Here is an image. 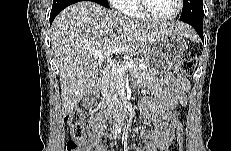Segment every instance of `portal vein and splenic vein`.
<instances>
[{
  "label": "portal vein and splenic vein",
  "instance_id": "portal-vein-and-splenic-vein-1",
  "mask_svg": "<svg viewBox=\"0 0 231 151\" xmlns=\"http://www.w3.org/2000/svg\"><path fill=\"white\" fill-rule=\"evenodd\" d=\"M118 50V46L114 45L113 47L109 48L106 51H94L91 53V55L94 56V58L98 59L99 61H104L106 57L110 56L112 53L116 52ZM136 65L135 60H130L124 64H110L109 68L112 72H114L117 75H121L124 73L126 69H131Z\"/></svg>",
  "mask_w": 231,
  "mask_h": 151
}]
</instances>
